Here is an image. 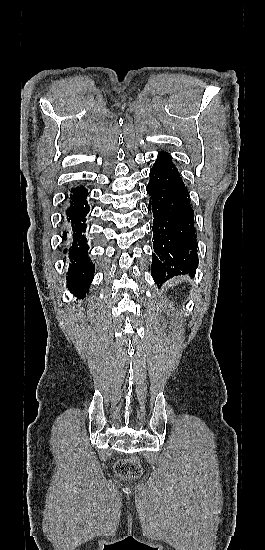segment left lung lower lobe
Wrapping results in <instances>:
<instances>
[{
	"mask_svg": "<svg viewBox=\"0 0 265 550\" xmlns=\"http://www.w3.org/2000/svg\"><path fill=\"white\" fill-rule=\"evenodd\" d=\"M147 192L153 212L154 251L151 273L157 285L178 274L194 275L198 266L194 213L185 185L167 152L151 171Z\"/></svg>",
	"mask_w": 265,
	"mask_h": 550,
	"instance_id": "left-lung-lower-lobe-1",
	"label": "left lung lower lobe"
}]
</instances>
